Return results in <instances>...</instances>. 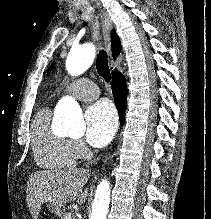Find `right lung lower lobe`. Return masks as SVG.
Returning a JSON list of instances; mask_svg holds the SVG:
<instances>
[{"instance_id":"obj_1","label":"right lung lower lobe","mask_w":211,"mask_h":219,"mask_svg":"<svg viewBox=\"0 0 211 219\" xmlns=\"http://www.w3.org/2000/svg\"><path fill=\"white\" fill-rule=\"evenodd\" d=\"M112 91L120 122L122 124L125 117L127 103V87L124 76L117 70L112 73Z\"/></svg>"}]
</instances>
